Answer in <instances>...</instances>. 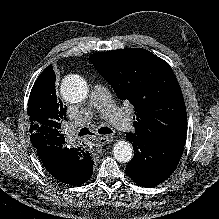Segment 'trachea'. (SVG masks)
Wrapping results in <instances>:
<instances>
[{
  "instance_id": "3493384b",
  "label": "trachea",
  "mask_w": 219,
  "mask_h": 219,
  "mask_svg": "<svg viewBox=\"0 0 219 219\" xmlns=\"http://www.w3.org/2000/svg\"><path fill=\"white\" fill-rule=\"evenodd\" d=\"M99 134H111L112 130L108 127H101L98 129ZM84 135H93L87 128H82L79 132V136H84Z\"/></svg>"
}]
</instances>
